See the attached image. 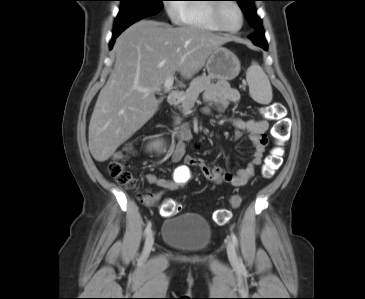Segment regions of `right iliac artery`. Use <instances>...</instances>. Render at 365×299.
Wrapping results in <instances>:
<instances>
[{"label": "right iliac artery", "mask_w": 365, "mask_h": 299, "mask_svg": "<svg viewBox=\"0 0 365 299\" xmlns=\"http://www.w3.org/2000/svg\"><path fill=\"white\" fill-rule=\"evenodd\" d=\"M151 227H152V224H151V222H149L145 229V235L149 234V232L151 231Z\"/></svg>", "instance_id": "right-iliac-artery-1"}]
</instances>
